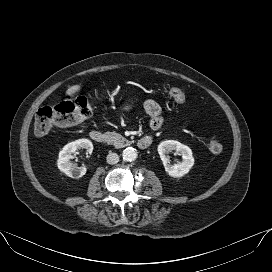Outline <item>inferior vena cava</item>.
I'll return each mask as SVG.
<instances>
[{
    "label": "inferior vena cava",
    "instance_id": "inferior-vena-cava-1",
    "mask_svg": "<svg viewBox=\"0 0 272 272\" xmlns=\"http://www.w3.org/2000/svg\"><path fill=\"white\" fill-rule=\"evenodd\" d=\"M106 159L109 164H116L119 161V156L116 153L109 152Z\"/></svg>",
    "mask_w": 272,
    "mask_h": 272
}]
</instances>
